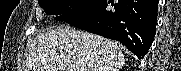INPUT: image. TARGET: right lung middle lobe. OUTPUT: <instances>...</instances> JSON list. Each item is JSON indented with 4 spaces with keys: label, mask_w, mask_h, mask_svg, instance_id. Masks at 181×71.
Listing matches in <instances>:
<instances>
[{
    "label": "right lung middle lobe",
    "mask_w": 181,
    "mask_h": 71,
    "mask_svg": "<svg viewBox=\"0 0 181 71\" xmlns=\"http://www.w3.org/2000/svg\"><path fill=\"white\" fill-rule=\"evenodd\" d=\"M96 0H40L39 5L48 15H56V20L71 18L89 8Z\"/></svg>",
    "instance_id": "dd1d6c3e"
}]
</instances>
